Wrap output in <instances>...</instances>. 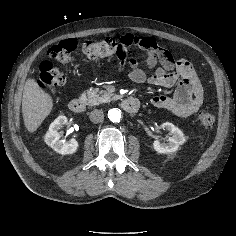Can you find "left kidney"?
<instances>
[{"label":"left kidney","instance_id":"obj_1","mask_svg":"<svg viewBox=\"0 0 236 236\" xmlns=\"http://www.w3.org/2000/svg\"><path fill=\"white\" fill-rule=\"evenodd\" d=\"M162 128L168 130L172 137L169 138L168 143H161L159 140L153 142V148L157 153L168 154L176 152L180 145L186 141L184 133L170 122H165L161 125Z\"/></svg>","mask_w":236,"mask_h":236}]
</instances>
